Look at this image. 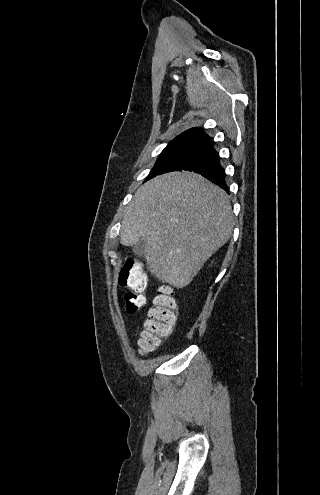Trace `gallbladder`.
<instances>
[{
  "instance_id": "obj_1",
  "label": "gallbladder",
  "mask_w": 320,
  "mask_h": 495,
  "mask_svg": "<svg viewBox=\"0 0 320 495\" xmlns=\"http://www.w3.org/2000/svg\"><path fill=\"white\" fill-rule=\"evenodd\" d=\"M145 246H146V240L143 237H140L138 239L137 244L133 245L132 248L135 253L143 254V249Z\"/></svg>"
}]
</instances>
